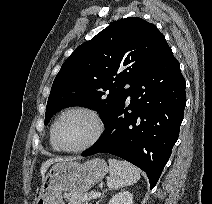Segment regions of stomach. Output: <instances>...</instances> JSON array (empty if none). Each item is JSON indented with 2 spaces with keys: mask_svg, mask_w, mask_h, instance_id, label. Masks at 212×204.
I'll return each instance as SVG.
<instances>
[{
  "mask_svg": "<svg viewBox=\"0 0 212 204\" xmlns=\"http://www.w3.org/2000/svg\"><path fill=\"white\" fill-rule=\"evenodd\" d=\"M107 170L106 162L99 158L85 163L58 162L44 177L35 204H64L62 192L83 194L99 182Z\"/></svg>",
  "mask_w": 212,
  "mask_h": 204,
  "instance_id": "0dacf381",
  "label": "stomach"
}]
</instances>
